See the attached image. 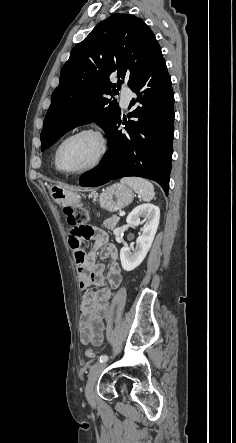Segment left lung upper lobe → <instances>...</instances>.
I'll use <instances>...</instances> for the list:
<instances>
[{"mask_svg":"<svg viewBox=\"0 0 236 443\" xmlns=\"http://www.w3.org/2000/svg\"><path fill=\"white\" fill-rule=\"evenodd\" d=\"M154 33L141 18L113 14L76 44L60 73L40 135L44 151L76 126L96 122L107 133L121 111L113 96L121 83L130 86L138 77L154 46ZM117 75L118 83L109 81Z\"/></svg>","mask_w":236,"mask_h":443,"instance_id":"5c2ea615","label":"left lung upper lobe"}]
</instances>
